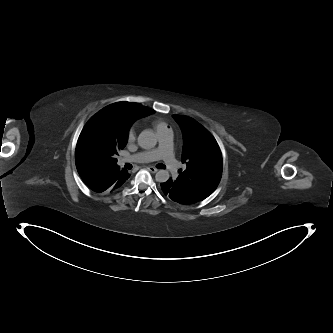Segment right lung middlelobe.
Segmentation results:
<instances>
[{
	"label": "right lung middle lobe",
	"mask_w": 333,
	"mask_h": 333,
	"mask_svg": "<svg viewBox=\"0 0 333 333\" xmlns=\"http://www.w3.org/2000/svg\"><path fill=\"white\" fill-rule=\"evenodd\" d=\"M128 128L104 108L84 126L76 146L78 171L115 165L116 156L127 144Z\"/></svg>",
	"instance_id": "obj_1"
}]
</instances>
